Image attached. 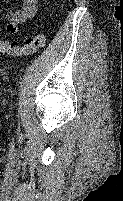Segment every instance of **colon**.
Here are the masks:
<instances>
[{
    "label": "colon",
    "mask_w": 123,
    "mask_h": 201,
    "mask_svg": "<svg viewBox=\"0 0 123 201\" xmlns=\"http://www.w3.org/2000/svg\"><path fill=\"white\" fill-rule=\"evenodd\" d=\"M46 44V36L43 32L29 38L21 45L17 42L0 40V56L8 55L13 57L32 55Z\"/></svg>",
    "instance_id": "colon-1"
}]
</instances>
